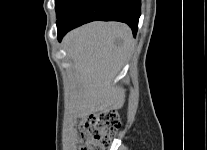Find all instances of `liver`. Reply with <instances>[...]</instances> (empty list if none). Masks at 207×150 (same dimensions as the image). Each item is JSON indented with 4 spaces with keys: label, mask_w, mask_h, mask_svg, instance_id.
Returning a JSON list of instances; mask_svg holds the SVG:
<instances>
[{
    "label": "liver",
    "mask_w": 207,
    "mask_h": 150,
    "mask_svg": "<svg viewBox=\"0 0 207 150\" xmlns=\"http://www.w3.org/2000/svg\"><path fill=\"white\" fill-rule=\"evenodd\" d=\"M64 47L73 62L69 108L74 116L120 109L125 89L112 84L131 51L130 28L119 22H92L69 32Z\"/></svg>",
    "instance_id": "liver-1"
}]
</instances>
